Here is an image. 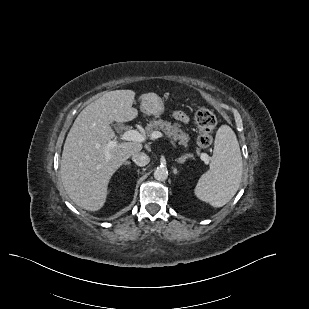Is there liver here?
Instances as JSON below:
<instances>
[{"mask_svg":"<svg viewBox=\"0 0 309 309\" xmlns=\"http://www.w3.org/2000/svg\"><path fill=\"white\" fill-rule=\"evenodd\" d=\"M147 95H141L140 100ZM134 97L132 90L106 92L81 111L67 135L61 179L71 200L85 210L97 211L103 207L112 175L143 147L136 141L117 143L106 160V146L115 138L110 124L128 122L138 115L132 107Z\"/></svg>","mask_w":309,"mask_h":309,"instance_id":"1","label":"liver"}]
</instances>
